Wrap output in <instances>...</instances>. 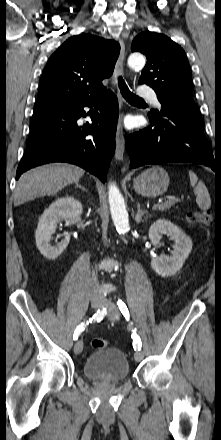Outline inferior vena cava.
Instances as JSON below:
<instances>
[{"label": "inferior vena cava", "mask_w": 221, "mask_h": 440, "mask_svg": "<svg viewBox=\"0 0 221 440\" xmlns=\"http://www.w3.org/2000/svg\"><path fill=\"white\" fill-rule=\"evenodd\" d=\"M92 286H93V292L97 294L98 278H97V273H95V271L92 272Z\"/></svg>", "instance_id": "1"}]
</instances>
